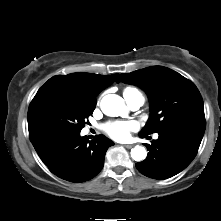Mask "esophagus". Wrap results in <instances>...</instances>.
<instances>
[{"label": "esophagus", "instance_id": "obj_1", "mask_svg": "<svg viewBox=\"0 0 221 221\" xmlns=\"http://www.w3.org/2000/svg\"><path fill=\"white\" fill-rule=\"evenodd\" d=\"M125 148H127V149H130V148H132L134 145H132V144H125V145H123Z\"/></svg>", "mask_w": 221, "mask_h": 221}]
</instances>
